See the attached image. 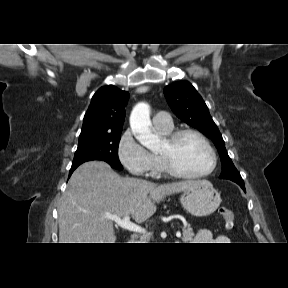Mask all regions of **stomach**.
Returning <instances> with one entry per match:
<instances>
[{"label": "stomach", "instance_id": "obj_1", "mask_svg": "<svg viewBox=\"0 0 288 288\" xmlns=\"http://www.w3.org/2000/svg\"><path fill=\"white\" fill-rule=\"evenodd\" d=\"M221 201L220 193L207 181L198 183L184 191L180 197L184 209L197 217L212 214L219 207Z\"/></svg>", "mask_w": 288, "mask_h": 288}]
</instances>
